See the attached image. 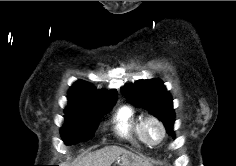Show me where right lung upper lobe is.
<instances>
[{
	"label": "right lung upper lobe",
	"mask_w": 236,
	"mask_h": 166,
	"mask_svg": "<svg viewBox=\"0 0 236 166\" xmlns=\"http://www.w3.org/2000/svg\"><path fill=\"white\" fill-rule=\"evenodd\" d=\"M117 100L116 90L98 91L86 81H76L69 90V106L102 109L113 106Z\"/></svg>",
	"instance_id": "right-lung-upper-lobe-1"
}]
</instances>
